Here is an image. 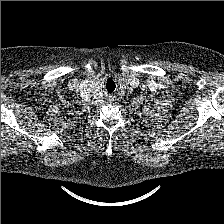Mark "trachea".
I'll return each mask as SVG.
<instances>
[{
    "mask_svg": "<svg viewBox=\"0 0 224 224\" xmlns=\"http://www.w3.org/2000/svg\"><path fill=\"white\" fill-rule=\"evenodd\" d=\"M116 88L115 82L113 80H108L106 83V90L108 92H114Z\"/></svg>",
    "mask_w": 224,
    "mask_h": 224,
    "instance_id": "3493384b",
    "label": "trachea"
}]
</instances>
